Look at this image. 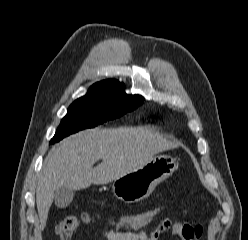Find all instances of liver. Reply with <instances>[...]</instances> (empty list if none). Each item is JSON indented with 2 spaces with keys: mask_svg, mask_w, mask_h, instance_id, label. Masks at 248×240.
I'll use <instances>...</instances> for the list:
<instances>
[{
  "mask_svg": "<svg viewBox=\"0 0 248 240\" xmlns=\"http://www.w3.org/2000/svg\"><path fill=\"white\" fill-rule=\"evenodd\" d=\"M176 145L140 128L89 129L64 139L45 158L36 188L40 227L44 229L54 193L60 187L72 190L91 184L110 183L154 155ZM102 162L93 167L94 163Z\"/></svg>",
  "mask_w": 248,
  "mask_h": 240,
  "instance_id": "1",
  "label": "liver"
}]
</instances>
